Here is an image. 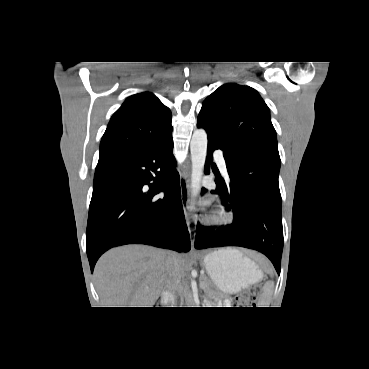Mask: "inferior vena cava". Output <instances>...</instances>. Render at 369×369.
Instances as JSON below:
<instances>
[{"mask_svg":"<svg viewBox=\"0 0 369 369\" xmlns=\"http://www.w3.org/2000/svg\"><path fill=\"white\" fill-rule=\"evenodd\" d=\"M167 266L169 268V272H170V278L167 282V285L165 287V289L170 292L171 289L173 288V285H172V279L174 278V268H173V259L171 256H168L167 257ZM176 284H178V282H176Z\"/></svg>","mask_w":369,"mask_h":369,"instance_id":"obj_1","label":"inferior vena cava"}]
</instances>
